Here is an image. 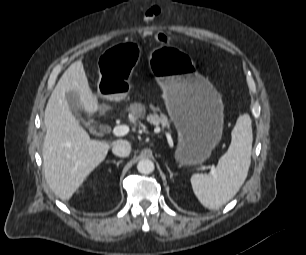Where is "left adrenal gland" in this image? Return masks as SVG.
Instances as JSON below:
<instances>
[{"label": "left adrenal gland", "instance_id": "obj_1", "mask_svg": "<svg viewBox=\"0 0 306 255\" xmlns=\"http://www.w3.org/2000/svg\"><path fill=\"white\" fill-rule=\"evenodd\" d=\"M166 168H167V170H168V172H169V174H170V177L172 178V177H173V173L171 172V170H170V168L168 167L167 164H166Z\"/></svg>", "mask_w": 306, "mask_h": 255}]
</instances>
